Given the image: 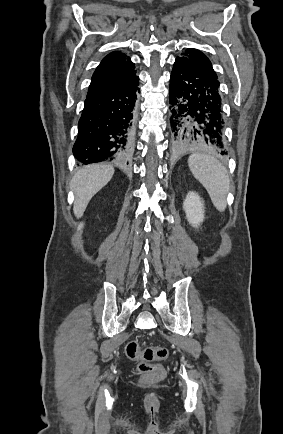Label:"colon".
I'll use <instances>...</instances> for the list:
<instances>
[{"label": "colon", "mask_w": 283, "mask_h": 434, "mask_svg": "<svg viewBox=\"0 0 283 434\" xmlns=\"http://www.w3.org/2000/svg\"><path fill=\"white\" fill-rule=\"evenodd\" d=\"M126 356L132 360H139L138 370L147 382H157L164 378L165 369L154 362L165 360L169 356L167 348L162 346H150L142 349L138 341L128 342L125 348Z\"/></svg>", "instance_id": "obj_1"}]
</instances>
